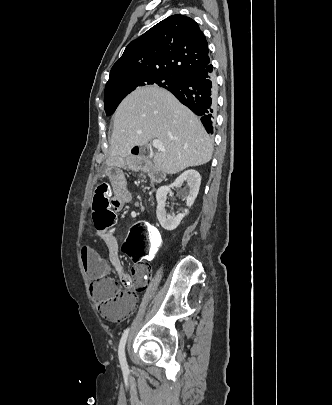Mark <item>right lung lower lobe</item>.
Returning a JSON list of instances; mask_svg holds the SVG:
<instances>
[{
    "mask_svg": "<svg viewBox=\"0 0 332 405\" xmlns=\"http://www.w3.org/2000/svg\"><path fill=\"white\" fill-rule=\"evenodd\" d=\"M167 90L195 114L201 116V122L208 133L213 132L216 80L210 63L187 73L177 85Z\"/></svg>",
    "mask_w": 332,
    "mask_h": 405,
    "instance_id": "1",
    "label": "right lung lower lobe"
}]
</instances>
